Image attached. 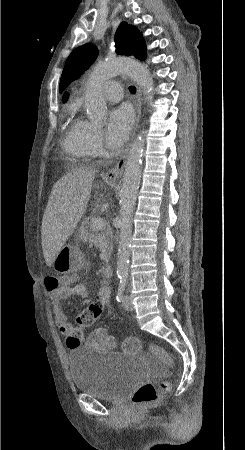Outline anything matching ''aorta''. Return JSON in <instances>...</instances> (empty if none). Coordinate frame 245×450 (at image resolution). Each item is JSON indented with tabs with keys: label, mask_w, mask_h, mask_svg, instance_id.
Listing matches in <instances>:
<instances>
[{
	"label": "aorta",
	"mask_w": 245,
	"mask_h": 450,
	"mask_svg": "<svg viewBox=\"0 0 245 450\" xmlns=\"http://www.w3.org/2000/svg\"><path fill=\"white\" fill-rule=\"evenodd\" d=\"M120 73H126L140 85L146 102H152L154 84L146 66L128 58H117L100 62L94 67L86 87V112L94 124H102L106 116L107 107L101 91L103 83ZM143 133L142 131L131 145L120 195L121 228L118 242L117 274L123 279L128 277L132 214L141 179V163L145 143Z\"/></svg>",
	"instance_id": "1"
}]
</instances>
